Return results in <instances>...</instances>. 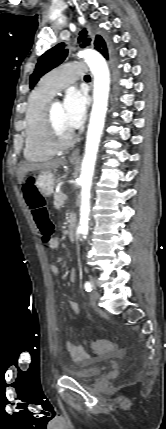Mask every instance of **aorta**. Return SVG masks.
<instances>
[{
  "mask_svg": "<svg viewBox=\"0 0 166 429\" xmlns=\"http://www.w3.org/2000/svg\"><path fill=\"white\" fill-rule=\"evenodd\" d=\"M88 64L94 77L93 106L88 125L85 154L81 165V206L78 232L85 237L88 233L90 213V191L94 175V167L100 138L105 123L108 94L110 89V73L103 56L92 49L78 53Z\"/></svg>",
  "mask_w": 166,
  "mask_h": 429,
  "instance_id": "1",
  "label": "aorta"
}]
</instances>
